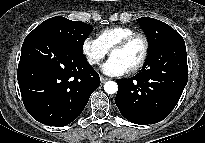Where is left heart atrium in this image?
Segmentation results:
<instances>
[{"label": "left heart atrium", "mask_w": 205, "mask_h": 143, "mask_svg": "<svg viewBox=\"0 0 205 143\" xmlns=\"http://www.w3.org/2000/svg\"><path fill=\"white\" fill-rule=\"evenodd\" d=\"M101 70L111 76H121L125 74L128 69L117 59L110 57L101 67Z\"/></svg>", "instance_id": "1"}]
</instances>
